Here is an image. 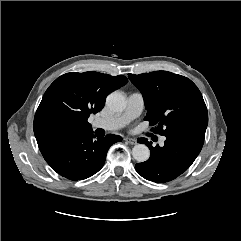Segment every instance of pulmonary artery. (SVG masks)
Segmentation results:
<instances>
[{
    "instance_id": "e3ab8cb5",
    "label": "pulmonary artery",
    "mask_w": 241,
    "mask_h": 241,
    "mask_svg": "<svg viewBox=\"0 0 241 241\" xmlns=\"http://www.w3.org/2000/svg\"><path fill=\"white\" fill-rule=\"evenodd\" d=\"M144 107V99L141 93H131L127 100L126 109L119 114L107 117L98 118L92 122L93 128H102L104 130H117L127 125L131 120L137 118ZM164 137L160 142L163 143Z\"/></svg>"
}]
</instances>
